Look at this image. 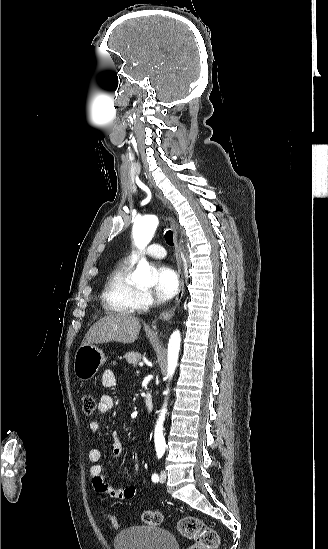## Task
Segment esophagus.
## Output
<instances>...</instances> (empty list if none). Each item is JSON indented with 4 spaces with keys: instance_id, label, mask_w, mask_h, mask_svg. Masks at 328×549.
<instances>
[{
    "instance_id": "esophagus-1",
    "label": "esophagus",
    "mask_w": 328,
    "mask_h": 549,
    "mask_svg": "<svg viewBox=\"0 0 328 549\" xmlns=\"http://www.w3.org/2000/svg\"><path fill=\"white\" fill-rule=\"evenodd\" d=\"M170 222L174 231V245H175L177 269H178L179 288H178L177 296L175 299V306L170 310H165L164 312H161L160 319L162 320H168V319H171V317H173L175 309L180 304L181 299L183 297V293H184V278H183V272H182V266H181V257L179 254V246L177 242L178 226L174 219L171 218Z\"/></svg>"
}]
</instances>
